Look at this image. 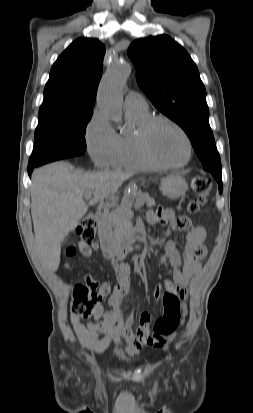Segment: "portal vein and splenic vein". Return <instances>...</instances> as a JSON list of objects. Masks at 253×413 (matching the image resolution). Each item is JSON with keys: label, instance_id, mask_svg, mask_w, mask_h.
Returning <instances> with one entry per match:
<instances>
[{"label": "portal vein and splenic vein", "instance_id": "obj_1", "mask_svg": "<svg viewBox=\"0 0 253 413\" xmlns=\"http://www.w3.org/2000/svg\"><path fill=\"white\" fill-rule=\"evenodd\" d=\"M91 196H92V193L90 191H87V192L84 193V198L86 200H89L91 198Z\"/></svg>", "mask_w": 253, "mask_h": 413}]
</instances>
